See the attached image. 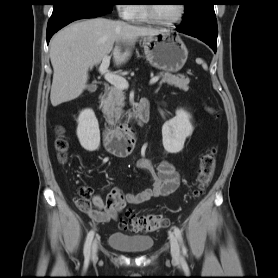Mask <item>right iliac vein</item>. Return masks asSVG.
Returning a JSON list of instances; mask_svg holds the SVG:
<instances>
[{"instance_id": "right-iliac-vein-1", "label": "right iliac vein", "mask_w": 278, "mask_h": 278, "mask_svg": "<svg viewBox=\"0 0 278 278\" xmlns=\"http://www.w3.org/2000/svg\"><path fill=\"white\" fill-rule=\"evenodd\" d=\"M97 248H98V244H97V240L95 239L92 243V248H91V258H92V260L97 258Z\"/></svg>"}]
</instances>
